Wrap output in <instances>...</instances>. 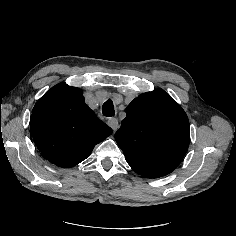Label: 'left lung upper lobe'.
<instances>
[{"label": "left lung upper lobe", "instance_id": "1", "mask_svg": "<svg viewBox=\"0 0 236 236\" xmlns=\"http://www.w3.org/2000/svg\"><path fill=\"white\" fill-rule=\"evenodd\" d=\"M115 139L136 173L158 178L182 161L190 142L189 120L167 92L157 89L128 105Z\"/></svg>", "mask_w": 236, "mask_h": 236}]
</instances>
